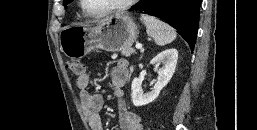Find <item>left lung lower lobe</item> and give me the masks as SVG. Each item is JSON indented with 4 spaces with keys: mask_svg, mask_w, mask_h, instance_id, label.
<instances>
[{
    "mask_svg": "<svg viewBox=\"0 0 257 130\" xmlns=\"http://www.w3.org/2000/svg\"><path fill=\"white\" fill-rule=\"evenodd\" d=\"M201 0H141L130 10L140 11L169 23L193 50L198 32Z\"/></svg>",
    "mask_w": 257,
    "mask_h": 130,
    "instance_id": "left-lung-lower-lobe-1",
    "label": "left lung lower lobe"
}]
</instances>
